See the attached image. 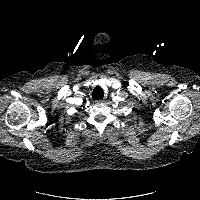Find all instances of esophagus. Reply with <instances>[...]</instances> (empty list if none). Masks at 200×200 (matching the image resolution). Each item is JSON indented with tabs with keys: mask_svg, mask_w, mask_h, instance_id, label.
<instances>
[{
	"mask_svg": "<svg viewBox=\"0 0 200 200\" xmlns=\"http://www.w3.org/2000/svg\"><path fill=\"white\" fill-rule=\"evenodd\" d=\"M100 102H104V100L102 99V100H99Z\"/></svg>",
	"mask_w": 200,
	"mask_h": 200,
	"instance_id": "esophagus-1",
	"label": "esophagus"
}]
</instances>
